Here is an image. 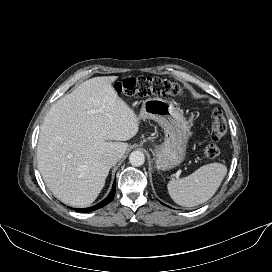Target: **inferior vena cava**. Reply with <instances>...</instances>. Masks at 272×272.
Wrapping results in <instances>:
<instances>
[{"instance_id": "1", "label": "inferior vena cava", "mask_w": 272, "mask_h": 272, "mask_svg": "<svg viewBox=\"0 0 272 272\" xmlns=\"http://www.w3.org/2000/svg\"><path fill=\"white\" fill-rule=\"evenodd\" d=\"M120 159V155L117 152H107L103 155L102 161L108 166H114L118 160Z\"/></svg>"}]
</instances>
